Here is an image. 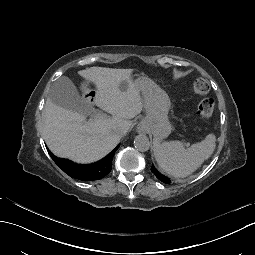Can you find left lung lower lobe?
Returning <instances> with one entry per match:
<instances>
[{"instance_id": "1", "label": "left lung lower lobe", "mask_w": 255, "mask_h": 255, "mask_svg": "<svg viewBox=\"0 0 255 255\" xmlns=\"http://www.w3.org/2000/svg\"><path fill=\"white\" fill-rule=\"evenodd\" d=\"M148 170L153 177H155L158 181L162 182L164 185H172L174 183V180L172 178H169L166 175H162L161 173H159L153 165H150L148 167Z\"/></svg>"}]
</instances>
